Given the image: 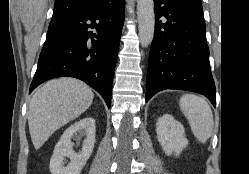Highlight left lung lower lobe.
Segmentation results:
<instances>
[{
  "instance_id": "0a47b994",
  "label": "left lung lower lobe",
  "mask_w": 249,
  "mask_h": 174,
  "mask_svg": "<svg viewBox=\"0 0 249 174\" xmlns=\"http://www.w3.org/2000/svg\"><path fill=\"white\" fill-rule=\"evenodd\" d=\"M154 4L146 102L161 90L180 89L202 94L215 106L204 19L174 0H154Z\"/></svg>"
}]
</instances>
